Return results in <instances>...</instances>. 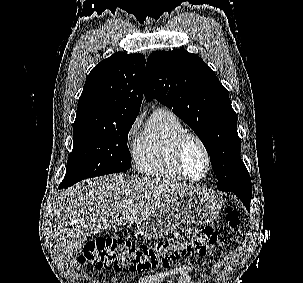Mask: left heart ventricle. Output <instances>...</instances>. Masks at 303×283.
<instances>
[{
	"mask_svg": "<svg viewBox=\"0 0 303 283\" xmlns=\"http://www.w3.org/2000/svg\"><path fill=\"white\" fill-rule=\"evenodd\" d=\"M185 162L190 175L194 178H199L203 175L206 169V160L200 146L191 141L187 145L185 151Z\"/></svg>",
	"mask_w": 303,
	"mask_h": 283,
	"instance_id": "left-heart-ventricle-1",
	"label": "left heart ventricle"
}]
</instances>
